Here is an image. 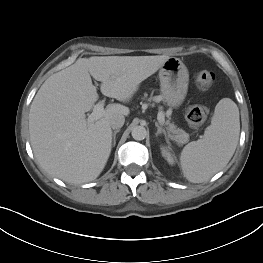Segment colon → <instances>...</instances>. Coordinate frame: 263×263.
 Instances as JSON below:
<instances>
[{
  "label": "colon",
  "instance_id": "1",
  "mask_svg": "<svg viewBox=\"0 0 263 263\" xmlns=\"http://www.w3.org/2000/svg\"><path fill=\"white\" fill-rule=\"evenodd\" d=\"M215 73L210 70H198L194 75L195 84L200 90L209 89L215 82ZM208 115V109L203 105H191L186 110L185 118L191 127L202 125Z\"/></svg>",
  "mask_w": 263,
  "mask_h": 263
}]
</instances>
